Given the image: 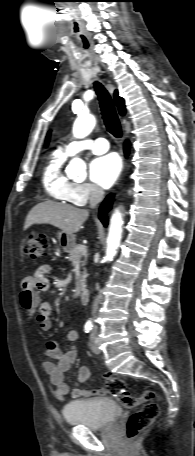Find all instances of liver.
Masks as SVG:
<instances>
[{
	"label": "liver",
	"instance_id": "6515ba94",
	"mask_svg": "<svg viewBox=\"0 0 195 456\" xmlns=\"http://www.w3.org/2000/svg\"><path fill=\"white\" fill-rule=\"evenodd\" d=\"M89 212L53 201H45L35 205L27 215L25 229L34 224H50L67 234L77 233L87 220Z\"/></svg>",
	"mask_w": 195,
	"mask_h": 456
}]
</instances>
